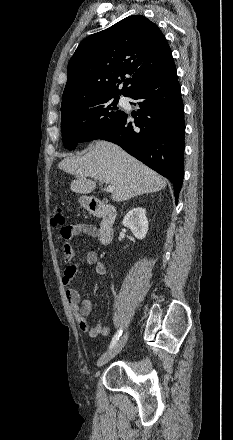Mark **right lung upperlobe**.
I'll return each mask as SVG.
<instances>
[{
	"label": "right lung upper lobe",
	"instance_id": "right-lung-upper-lobe-1",
	"mask_svg": "<svg viewBox=\"0 0 233 440\" xmlns=\"http://www.w3.org/2000/svg\"><path fill=\"white\" fill-rule=\"evenodd\" d=\"M175 67L171 49L156 24L142 15L127 17L81 41L67 68L61 109L96 99L130 97ZM130 75L122 90L119 78Z\"/></svg>",
	"mask_w": 233,
	"mask_h": 440
}]
</instances>
